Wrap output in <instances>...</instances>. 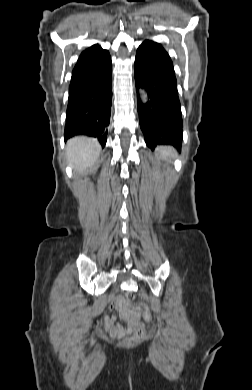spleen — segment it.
<instances>
[{"label": "spleen", "mask_w": 252, "mask_h": 390, "mask_svg": "<svg viewBox=\"0 0 252 390\" xmlns=\"http://www.w3.org/2000/svg\"><path fill=\"white\" fill-rule=\"evenodd\" d=\"M160 153H161L162 157H164V158L173 155V151L169 147H165V148L160 149Z\"/></svg>", "instance_id": "1"}]
</instances>
